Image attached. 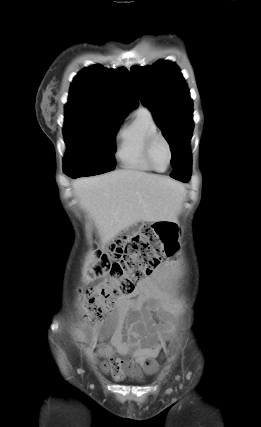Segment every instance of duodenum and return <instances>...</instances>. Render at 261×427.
Here are the masks:
<instances>
[{
	"instance_id": "1",
	"label": "duodenum",
	"mask_w": 261,
	"mask_h": 427,
	"mask_svg": "<svg viewBox=\"0 0 261 427\" xmlns=\"http://www.w3.org/2000/svg\"><path fill=\"white\" fill-rule=\"evenodd\" d=\"M123 239H124V238H123V237H121V238H120V240H119V242L123 241Z\"/></svg>"
}]
</instances>
